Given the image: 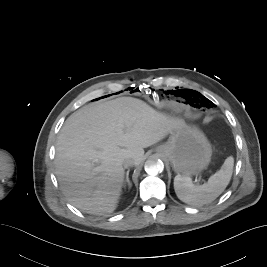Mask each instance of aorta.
Returning a JSON list of instances; mask_svg holds the SVG:
<instances>
[{
    "mask_svg": "<svg viewBox=\"0 0 267 267\" xmlns=\"http://www.w3.org/2000/svg\"><path fill=\"white\" fill-rule=\"evenodd\" d=\"M144 169L149 175H157L164 170V163L157 156H151L146 162Z\"/></svg>",
    "mask_w": 267,
    "mask_h": 267,
    "instance_id": "obj_1",
    "label": "aorta"
}]
</instances>
